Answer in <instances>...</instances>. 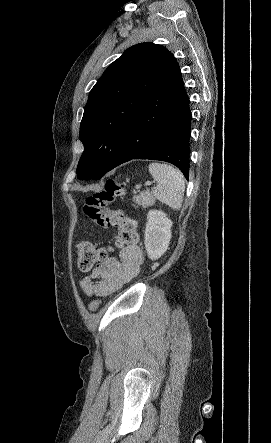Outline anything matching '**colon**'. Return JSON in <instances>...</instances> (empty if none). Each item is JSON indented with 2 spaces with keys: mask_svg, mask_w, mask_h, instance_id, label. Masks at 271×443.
I'll return each mask as SVG.
<instances>
[{
  "mask_svg": "<svg viewBox=\"0 0 271 443\" xmlns=\"http://www.w3.org/2000/svg\"><path fill=\"white\" fill-rule=\"evenodd\" d=\"M123 192V186L117 179H108L103 189L88 196L83 206L85 216L94 225L101 228L115 227L117 229L116 243L125 247L137 242V224L134 219L122 210L110 209V205ZM77 266L81 271H89L93 265L104 258L103 250L87 240H78L75 244ZM100 300L94 299L89 303V310H98Z\"/></svg>",
  "mask_w": 271,
  "mask_h": 443,
  "instance_id": "1",
  "label": "colon"
}]
</instances>
